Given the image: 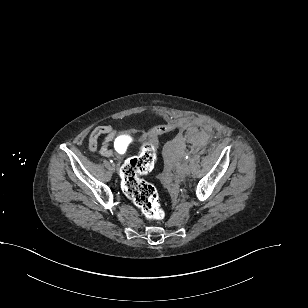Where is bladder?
Wrapping results in <instances>:
<instances>
[{
	"label": "bladder",
	"instance_id": "31cf9c89",
	"mask_svg": "<svg viewBox=\"0 0 308 308\" xmlns=\"http://www.w3.org/2000/svg\"><path fill=\"white\" fill-rule=\"evenodd\" d=\"M128 144V139L126 136L121 135L120 137L117 138L116 140V147L120 150V151H124L127 147Z\"/></svg>",
	"mask_w": 308,
	"mask_h": 308
}]
</instances>
